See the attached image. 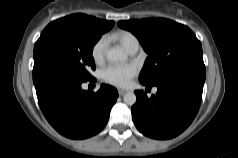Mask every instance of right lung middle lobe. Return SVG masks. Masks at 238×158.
<instances>
[{"label": "right lung middle lobe", "mask_w": 238, "mask_h": 158, "mask_svg": "<svg viewBox=\"0 0 238 158\" xmlns=\"http://www.w3.org/2000/svg\"><path fill=\"white\" fill-rule=\"evenodd\" d=\"M106 31L77 18L64 17L51 22L34 47V68L50 65L89 81L95 69L93 46Z\"/></svg>", "instance_id": "right-lung-middle-lobe-1"}]
</instances>
